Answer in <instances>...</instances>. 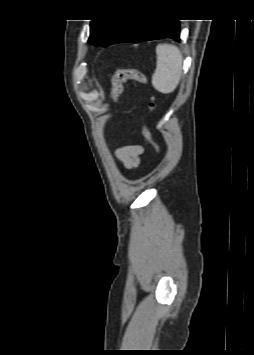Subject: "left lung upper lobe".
<instances>
[{
  "instance_id": "obj_1",
  "label": "left lung upper lobe",
  "mask_w": 254,
  "mask_h": 355,
  "mask_svg": "<svg viewBox=\"0 0 254 355\" xmlns=\"http://www.w3.org/2000/svg\"><path fill=\"white\" fill-rule=\"evenodd\" d=\"M129 19L92 20L89 42L104 47L114 44L121 36Z\"/></svg>"
}]
</instances>
